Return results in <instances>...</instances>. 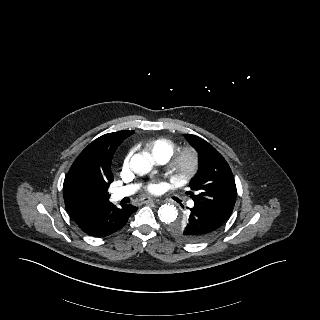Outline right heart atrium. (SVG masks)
<instances>
[{
  "label": "right heart atrium",
  "instance_id": "1",
  "mask_svg": "<svg viewBox=\"0 0 320 320\" xmlns=\"http://www.w3.org/2000/svg\"><path fill=\"white\" fill-rule=\"evenodd\" d=\"M129 158H130V153H128L124 159V165L126 166L129 162Z\"/></svg>",
  "mask_w": 320,
  "mask_h": 320
}]
</instances>
